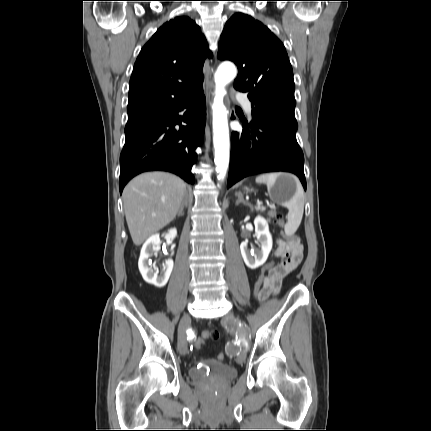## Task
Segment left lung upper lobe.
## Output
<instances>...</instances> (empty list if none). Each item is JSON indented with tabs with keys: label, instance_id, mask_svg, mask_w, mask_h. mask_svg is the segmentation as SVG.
Listing matches in <instances>:
<instances>
[{
	"label": "left lung upper lobe",
	"instance_id": "obj_1",
	"mask_svg": "<svg viewBox=\"0 0 431 431\" xmlns=\"http://www.w3.org/2000/svg\"><path fill=\"white\" fill-rule=\"evenodd\" d=\"M217 57L234 61V88L247 93L253 114H272L297 122L293 70L282 42L261 22L237 13L226 23Z\"/></svg>",
	"mask_w": 431,
	"mask_h": 431
}]
</instances>
